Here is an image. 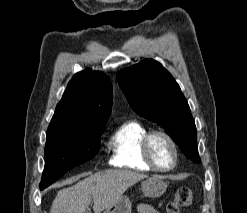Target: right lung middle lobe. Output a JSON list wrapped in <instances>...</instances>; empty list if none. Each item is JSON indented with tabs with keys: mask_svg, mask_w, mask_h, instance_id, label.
<instances>
[{
	"mask_svg": "<svg viewBox=\"0 0 247 213\" xmlns=\"http://www.w3.org/2000/svg\"><path fill=\"white\" fill-rule=\"evenodd\" d=\"M104 126L85 129L48 128L40 189L51 185L71 168L92 159L99 152Z\"/></svg>",
	"mask_w": 247,
	"mask_h": 213,
	"instance_id": "right-lung-middle-lobe-1",
	"label": "right lung middle lobe"
}]
</instances>
